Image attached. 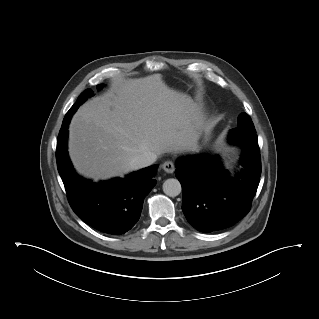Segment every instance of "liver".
<instances>
[{"instance_id": "6515ba94", "label": "liver", "mask_w": 319, "mask_h": 319, "mask_svg": "<svg viewBox=\"0 0 319 319\" xmlns=\"http://www.w3.org/2000/svg\"><path fill=\"white\" fill-rule=\"evenodd\" d=\"M210 126L160 74L121 79L74 114L69 155L77 172L94 181L122 177L137 156L193 150L198 130Z\"/></svg>"}]
</instances>
